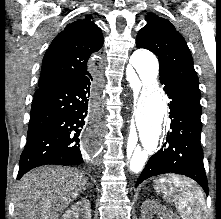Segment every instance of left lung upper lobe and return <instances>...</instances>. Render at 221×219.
<instances>
[{
	"label": "left lung upper lobe",
	"instance_id": "obj_1",
	"mask_svg": "<svg viewBox=\"0 0 221 219\" xmlns=\"http://www.w3.org/2000/svg\"><path fill=\"white\" fill-rule=\"evenodd\" d=\"M140 29L136 45L153 52L160 64V81H171L200 95L199 80L190 50L175 27L167 20L149 13Z\"/></svg>",
	"mask_w": 221,
	"mask_h": 219
}]
</instances>
